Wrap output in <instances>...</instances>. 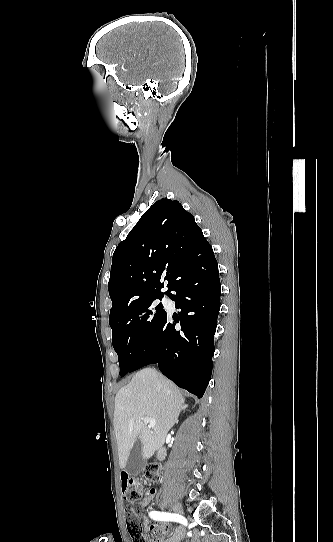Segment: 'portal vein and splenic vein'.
Instances as JSON below:
<instances>
[{
	"label": "portal vein and splenic vein",
	"instance_id": "portal-vein-and-splenic-vein-1",
	"mask_svg": "<svg viewBox=\"0 0 333 542\" xmlns=\"http://www.w3.org/2000/svg\"><path fill=\"white\" fill-rule=\"evenodd\" d=\"M141 420H143L144 424H148V426H156L154 418H141Z\"/></svg>",
	"mask_w": 333,
	"mask_h": 542
}]
</instances>
